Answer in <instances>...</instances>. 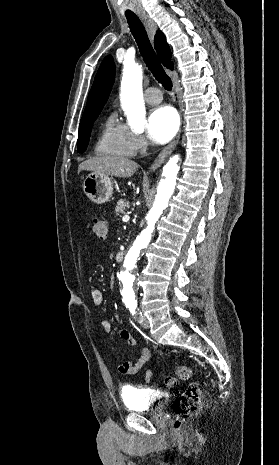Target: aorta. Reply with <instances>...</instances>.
<instances>
[{
	"label": "aorta",
	"mask_w": 279,
	"mask_h": 465,
	"mask_svg": "<svg viewBox=\"0 0 279 465\" xmlns=\"http://www.w3.org/2000/svg\"><path fill=\"white\" fill-rule=\"evenodd\" d=\"M142 68L138 64L125 65L121 81V104L129 124L136 130L142 131L145 123V107L142 89ZM179 155L170 158L163 168V179L158 185L156 199L147 214V227L136 238L128 250L120 276L121 294L123 301H135L136 263L142 250L149 244L155 224L168 206L172 196L177 174L180 169Z\"/></svg>",
	"instance_id": "762f6f07"
}]
</instances>
